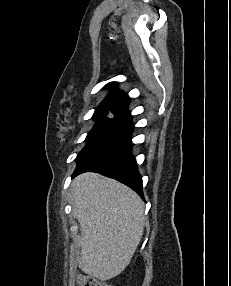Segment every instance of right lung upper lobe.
Here are the masks:
<instances>
[{
    "label": "right lung upper lobe",
    "mask_w": 231,
    "mask_h": 286,
    "mask_svg": "<svg viewBox=\"0 0 231 286\" xmlns=\"http://www.w3.org/2000/svg\"><path fill=\"white\" fill-rule=\"evenodd\" d=\"M114 83H110L108 86H113ZM129 103V97L123 92L115 91L109 94L100 106H116L126 108Z\"/></svg>",
    "instance_id": "cb5924a9"
}]
</instances>
